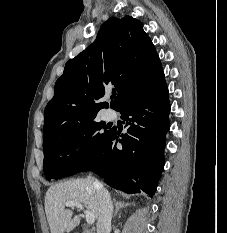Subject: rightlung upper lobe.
Returning a JSON list of instances; mask_svg holds the SVG:
<instances>
[{"label":"right lung upper lobe","instance_id":"right-lung-upper-lobe-1","mask_svg":"<svg viewBox=\"0 0 227 233\" xmlns=\"http://www.w3.org/2000/svg\"><path fill=\"white\" fill-rule=\"evenodd\" d=\"M162 80L160 59L142 23L130 16L108 19L96 41L70 59L56 81L45 109L43 145L94 121L106 107L98 102L105 93L117 91L112 102L120 111Z\"/></svg>","mask_w":227,"mask_h":233}]
</instances>
